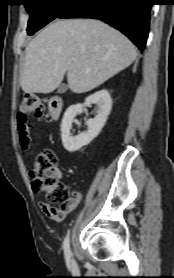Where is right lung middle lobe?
<instances>
[{
  "mask_svg": "<svg viewBox=\"0 0 174 278\" xmlns=\"http://www.w3.org/2000/svg\"><path fill=\"white\" fill-rule=\"evenodd\" d=\"M78 0H25V8L30 14L27 33L33 35L36 31L58 18Z\"/></svg>",
  "mask_w": 174,
  "mask_h": 278,
  "instance_id": "obj_1",
  "label": "right lung middle lobe"
}]
</instances>
